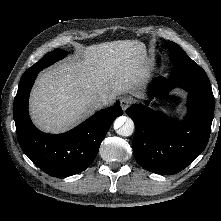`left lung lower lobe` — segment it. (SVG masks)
<instances>
[{"mask_svg": "<svg viewBox=\"0 0 221 221\" xmlns=\"http://www.w3.org/2000/svg\"><path fill=\"white\" fill-rule=\"evenodd\" d=\"M175 87L188 92V114L182 121L143 104L126 110L135 123L132 147L136 161L157 174H176L186 168L201 154L210 136L215 101L205 71L198 65L179 66L169 79H155L150 95L164 97Z\"/></svg>", "mask_w": 221, "mask_h": 221, "instance_id": "obj_1", "label": "left lung lower lobe"}]
</instances>
